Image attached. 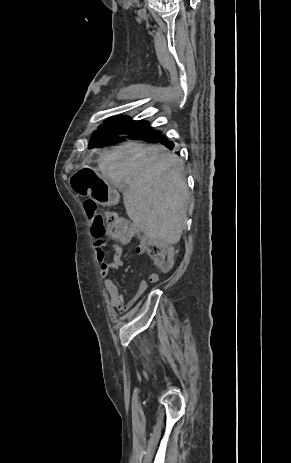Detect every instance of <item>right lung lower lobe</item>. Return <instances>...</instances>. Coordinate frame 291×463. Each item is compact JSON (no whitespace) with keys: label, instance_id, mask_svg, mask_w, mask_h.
<instances>
[{"label":"right lung lower lobe","instance_id":"obj_1","mask_svg":"<svg viewBox=\"0 0 291 463\" xmlns=\"http://www.w3.org/2000/svg\"><path fill=\"white\" fill-rule=\"evenodd\" d=\"M144 141L149 142V143H161L170 150H172L174 147V144L171 141L166 140L165 137L161 133L150 139H146Z\"/></svg>","mask_w":291,"mask_h":463}]
</instances>
